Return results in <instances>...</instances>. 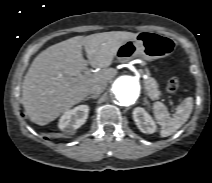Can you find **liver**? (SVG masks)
I'll use <instances>...</instances> for the list:
<instances>
[{
    "label": "liver",
    "mask_w": 212,
    "mask_h": 183,
    "mask_svg": "<svg viewBox=\"0 0 212 183\" xmlns=\"http://www.w3.org/2000/svg\"><path fill=\"white\" fill-rule=\"evenodd\" d=\"M138 33L111 31L75 36L54 44L33 60L22 85V104L30 120L47 125L82 102L90 88L112 79L110 68L119 48ZM82 46L88 60L82 55ZM88 64L99 70L82 75Z\"/></svg>",
    "instance_id": "obj_1"
}]
</instances>
